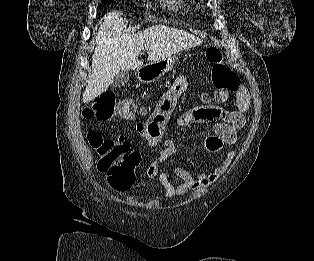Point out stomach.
I'll use <instances>...</instances> for the list:
<instances>
[{"mask_svg":"<svg viewBox=\"0 0 314 261\" xmlns=\"http://www.w3.org/2000/svg\"><path fill=\"white\" fill-rule=\"evenodd\" d=\"M178 57L173 54L165 59L147 63L136 71L137 79L142 83H153L167 73L176 63Z\"/></svg>","mask_w":314,"mask_h":261,"instance_id":"0dacf381","label":"stomach"}]
</instances>
